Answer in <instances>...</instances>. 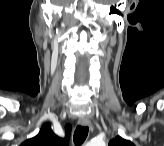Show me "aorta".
<instances>
[{
	"instance_id": "aorta-1",
	"label": "aorta",
	"mask_w": 164,
	"mask_h": 146,
	"mask_svg": "<svg viewBox=\"0 0 164 146\" xmlns=\"http://www.w3.org/2000/svg\"><path fill=\"white\" fill-rule=\"evenodd\" d=\"M91 146H104V142L103 141H94L90 143Z\"/></svg>"
}]
</instances>
